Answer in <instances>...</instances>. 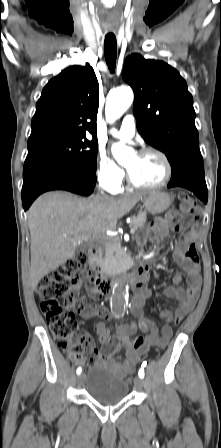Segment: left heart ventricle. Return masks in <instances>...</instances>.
I'll return each instance as SVG.
<instances>
[{
	"label": "left heart ventricle",
	"mask_w": 221,
	"mask_h": 448,
	"mask_svg": "<svg viewBox=\"0 0 221 448\" xmlns=\"http://www.w3.org/2000/svg\"><path fill=\"white\" fill-rule=\"evenodd\" d=\"M132 177L141 184L154 185L165 177L166 169L163 161L154 154L135 155L126 165Z\"/></svg>",
	"instance_id": "obj_1"
}]
</instances>
